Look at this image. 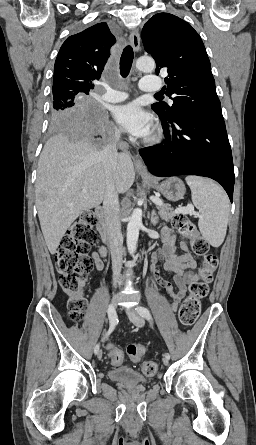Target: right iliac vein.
I'll return each instance as SVG.
<instances>
[{
    "label": "right iliac vein",
    "mask_w": 256,
    "mask_h": 445,
    "mask_svg": "<svg viewBox=\"0 0 256 445\" xmlns=\"http://www.w3.org/2000/svg\"><path fill=\"white\" fill-rule=\"evenodd\" d=\"M118 299H119V298H118L117 295H115V296L112 298L110 307L112 308L113 311H115V307H116V304H117V302H118ZM97 357H98V359H101V358H102V351H101V350L97 353Z\"/></svg>",
    "instance_id": "right-iliac-vein-1"
}]
</instances>
